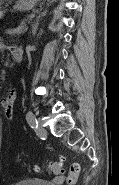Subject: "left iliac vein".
I'll return each instance as SVG.
<instances>
[{
	"instance_id": "left-iliac-vein-1",
	"label": "left iliac vein",
	"mask_w": 119,
	"mask_h": 185,
	"mask_svg": "<svg viewBox=\"0 0 119 185\" xmlns=\"http://www.w3.org/2000/svg\"><path fill=\"white\" fill-rule=\"evenodd\" d=\"M37 130H38V132L41 133V134L45 133V129H44V126H43V122H42V120H41L40 118L38 119Z\"/></svg>"
}]
</instances>
